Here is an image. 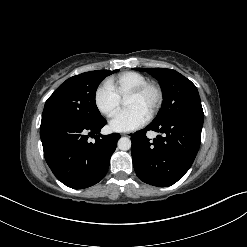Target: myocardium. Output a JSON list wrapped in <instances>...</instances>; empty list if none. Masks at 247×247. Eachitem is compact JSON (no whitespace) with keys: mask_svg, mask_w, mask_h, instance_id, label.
I'll return each instance as SVG.
<instances>
[{"mask_svg":"<svg viewBox=\"0 0 247 247\" xmlns=\"http://www.w3.org/2000/svg\"><path fill=\"white\" fill-rule=\"evenodd\" d=\"M147 91H153L155 94V100L153 105L151 106L148 116L152 118L161 108L163 101H164V92L160 84L153 81H147L138 87L131 90L126 97H139L145 94Z\"/></svg>","mask_w":247,"mask_h":247,"instance_id":"f54148a6","label":"myocardium"}]
</instances>
